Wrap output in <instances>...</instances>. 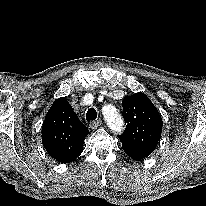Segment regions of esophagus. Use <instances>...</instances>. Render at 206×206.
<instances>
[{"mask_svg": "<svg viewBox=\"0 0 206 206\" xmlns=\"http://www.w3.org/2000/svg\"><path fill=\"white\" fill-rule=\"evenodd\" d=\"M89 125L92 129H97L99 126L102 125V120L98 119V120L91 121Z\"/></svg>", "mask_w": 206, "mask_h": 206, "instance_id": "34e87169", "label": "esophagus"}]
</instances>
